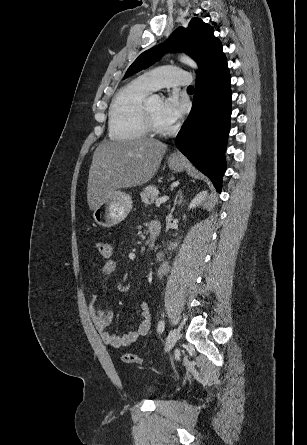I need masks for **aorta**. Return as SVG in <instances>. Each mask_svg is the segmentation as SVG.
Segmentation results:
<instances>
[{
    "label": "aorta",
    "mask_w": 307,
    "mask_h": 445,
    "mask_svg": "<svg viewBox=\"0 0 307 445\" xmlns=\"http://www.w3.org/2000/svg\"><path fill=\"white\" fill-rule=\"evenodd\" d=\"M179 60L180 62H184V64H188V66H193V68H198L197 62H195L193 58H190L188 54H180ZM152 102H156L155 96H150L148 104H152ZM157 102H162V100H157Z\"/></svg>",
    "instance_id": "aorta-1"
}]
</instances>
